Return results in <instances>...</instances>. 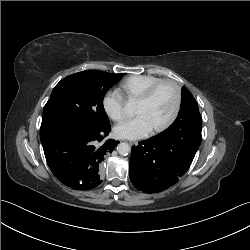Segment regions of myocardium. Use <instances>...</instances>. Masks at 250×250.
<instances>
[{"label": "myocardium", "instance_id": "f54148a6", "mask_svg": "<svg viewBox=\"0 0 250 250\" xmlns=\"http://www.w3.org/2000/svg\"><path fill=\"white\" fill-rule=\"evenodd\" d=\"M163 85H170L173 87L175 92V106L172 115L170 118L163 124L159 125L158 127L153 129V133H161L165 130H167L169 127H171L176 119L178 118V115L180 113L181 104H182V92L181 87L177 82L171 79H162L153 85H151L143 94H141L137 101L139 102H148L153 95L156 93V91Z\"/></svg>", "mask_w": 250, "mask_h": 250}]
</instances>
